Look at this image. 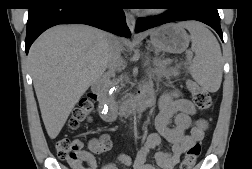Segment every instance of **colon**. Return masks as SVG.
Masks as SVG:
<instances>
[{
	"label": "colon",
	"instance_id": "1",
	"mask_svg": "<svg viewBox=\"0 0 252 169\" xmlns=\"http://www.w3.org/2000/svg\"><path fill=\"white\" fill-rule=\"evenodd\" d=\"M187 85L195 106L202 112L209 110L212 105V99L209 92L193 81H188ZM94 101V94H88L81 99L78 106L74 109L69 121V127L71 129H77L82 123L90 119ZM82 148L83 145L80 140L70 138H61L55 145L58 157L69 163L74 169H81L80 152ZM200 154V144L196 143L190 146L183 157L180 169H192Z\"/></svg>",
	"mask_w": 252,
	"mask_h": 169
}]
</instances>
